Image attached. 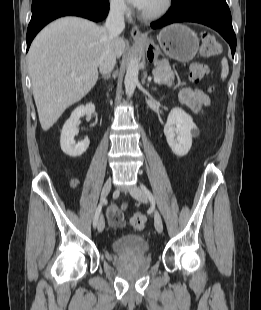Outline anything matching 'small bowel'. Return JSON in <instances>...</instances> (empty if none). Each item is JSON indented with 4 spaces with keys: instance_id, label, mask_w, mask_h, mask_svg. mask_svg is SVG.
I'll return each instance as SVG.
<instances>
[{
    "instance_id": "c3829d8e",
    "label": "small bowel",
    "mask_w": 261,
    "mask_h": 310,
    "mask_svg": "<svg viewBox=\"0 0 261 310\" xmlns=\"http://www.w3.org/2000/svg\"><path fill=\"white\" fill-rule=\"evenodd\" d=\"M179 101L196 114H202L210 104V99L206 93L190 87H183L180 90ZM126 207V204H123V209Z\"/></svg>"
}]
</instances>
